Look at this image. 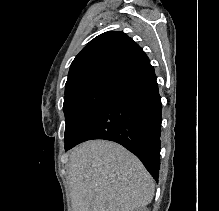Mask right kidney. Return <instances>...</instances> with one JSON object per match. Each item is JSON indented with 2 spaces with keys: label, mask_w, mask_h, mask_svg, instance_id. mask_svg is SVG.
<instances>
[{
  "label": "right kidney",
  "mask_w": 219,
  "mask_h": 211,
  "mask_svg": "<svg viewBox=\"0 0 219 211\" xmlns=\"http://www.w3.org/2000/svg\"><path fill=\"white\" fill-rule=\"evenodd\" d=\"M139 211H149V209H147V207H142V209H139Z\"/></svg>",
  "instance_id": "obj_1"
}]
</instances>
